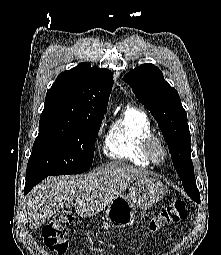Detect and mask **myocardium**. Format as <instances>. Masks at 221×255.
I'll return each instance as SVG.
<instances>
[{
	"label": "myocardium",
	"instance_id": "f54148a6",
	"mask_svg": "<svg viewBox=\"0 0 221 255\" xmlns=\"http://www.w3.org/2000/svg\"><path fill=\"white\" fill-rule=\"evenodd\" d=\"M143 152L153 164H161L168 157V150L164 142L157 136L152 135L143 142ZM160 152V156L157 155Z\"/></svg>",
	"mask_w": 221,
	"mask_h": 255
}]
</instances>
